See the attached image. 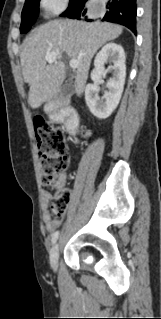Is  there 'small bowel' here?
Returning <instances> with one entry per match:
<instances>
[{
	"label": "small bowel",
	"instance_id": "small-bowel-1",
	"mask_svg": "<svg viewBox=\"0 0 161 319\" xmlns=\"http://www.w3.org/2000/svg\"><path fill=\"white\" fill-rule=\"evenodd\" d=\"M66 183V175H62L58 179V185L63 187ZM52 199V195L49 192L43 193V200H44V211H43V221L45 224V228L48 232H53L57 227L60 225L59 219H52L51 215L48 211V203Z\"/></svg>",
	"mask_w": 161,
	"mask_h": 319
}]
</instances>
